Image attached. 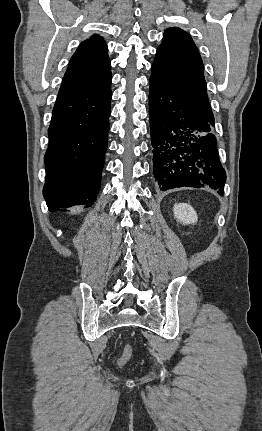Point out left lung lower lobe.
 I'll list each match as a JSON object with an SVG mask.
<instances>
[{
    "label": "left lung lower lobe",
    "mask_w": 262,
    "mask_h": 431,
    "mask_svg": "<svg viewBox=\"0 0 262 431\" xmlns=\"http://www.w3.org/2000/svg\"><path fill=\"white\" fill-rule=\"evenodd\" d=\"M153 174L161 191L209 187L224 192L226 173L219 159L214 119L164 85L149 82Z\"/></svg>",
    "instance_id": "0a47b994"
}]
</instances>
